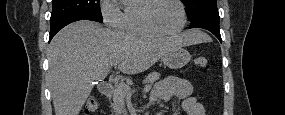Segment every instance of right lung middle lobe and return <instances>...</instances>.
<instances>
[{
    "label": "right lung middle lobe",
    "mask_w": 285,
    "mask_h": 115,
    "mask_svg": "<svg viewBox=\"0 0 285 115\" xmlns=\"http://www.w3.org/2000/svg\"><path fill=\"white\" fill-rule=\"evenodd\" d=\"M99 4L100 0H52L50 24L53 25L73 17H82L102 23Z\"/></svg>",
    "instance_id": "right-lung-middle-lobe-1"
}]
</instances>
